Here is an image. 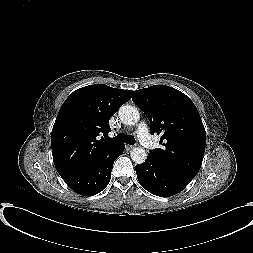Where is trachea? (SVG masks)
<instances>
[{"mask_svg":"<svg viewBox=\"0 0 253 253\" xmlns=\"http://www.w3.org/2000/svg\"><path fill=\"white\" fill-rule=\"evenodd\" d=\"M110 140L115 141V142H119V143H124L126 142L127 144L133 145L135 144V139L133 136H126L125 134H119L114 138H110Z\"/></svg>","mask_w":253,"mask_h":253,"instance_id":"1","label":"trachea"}]
</instances>
